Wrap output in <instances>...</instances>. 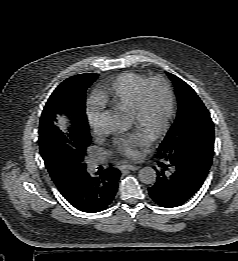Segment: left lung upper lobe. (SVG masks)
<instances>
[{
	"label": "left lung upper lobe",
	"mask_w": 238,
	"mask_h": 261,
	"mask_svg": "<svg viewBox=\"0 0 238 261\" xmlns=\"http://www.w3.org/2000/svg\"><path fill=\"white\" fill-rule=\"evenodd\" d=\"M178 99L176 120L159 146L158 156L178 164H198L209 170L214 153V126L196 92L177 76L167 73Z\"/></svg>",
	"instance_id": "left-lung-upper-lobe-1"
}]
</instances>
